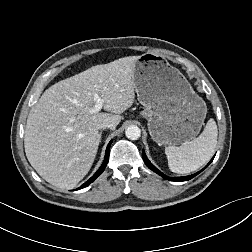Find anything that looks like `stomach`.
<instances>
[{
  "mask_svg": "<svg viewBox=\"0 0 252 252\" xmlns=\"http://www.w3.org/2000/svg\"><path fill=\"white\" fill-rule=\"evenodd\" d=\"M134 84L141 116L148 121L151 138L160 145H178L194 139L207 113L204 100L184 75L158 54L138 56Z\"/></svg>",
  "mask_w": 252,
  "mask_h": 252,
  "instance_id": "obj_1",
  "label": "stomach"
}]
</instances>
